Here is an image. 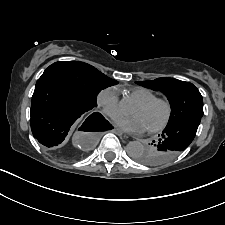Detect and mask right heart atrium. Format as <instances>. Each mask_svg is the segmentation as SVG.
<instances>
[{
	"mask_svg": "<svg viewBox=\"0 0 225 225\" xmlns=\"http://www.w3.org/2000/svg\"><path fill=\"white\" fill-rule=\"evenodd\" d=\"M96 102L102 112L110 117L118 114L120 109V101L118 91L113 87L102 89L97 97Z\"/></svg>",
	"mask_w": 225,
	"mask_h": 225,
	"instance_id": "1",
	"label": "right heart atrium"
}]
</instances>
